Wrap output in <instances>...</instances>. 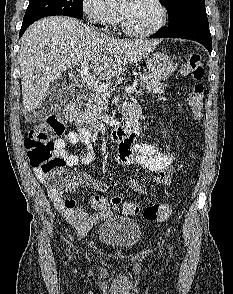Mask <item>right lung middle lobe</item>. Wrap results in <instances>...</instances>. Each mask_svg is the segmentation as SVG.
<instances>
[{"label":"right lung middle lobe","mask_w":233,"mask_h":294,"mask_svg":"<svg viewBox=\"0 0 233 294\" xmlns=\"http://www.w3.org/2000/svg\"><path fill=\"white\" fill-rule=\"evenodd\" d=\"M55 15L81 19L83 16V0H29L23 25H30L40 18Z\"/></svg>","instance_id":"dd1d6c3e"}]
</instances>
